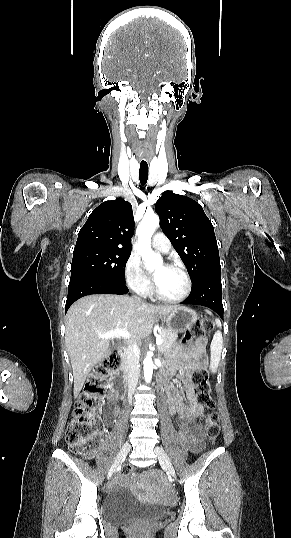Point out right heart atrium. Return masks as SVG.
Masks as SVG:
<instances>
[{"label": "right heart atrium", "instance_id": "d8ad5b80", "mask_svg": "<svg viewBox=\"0 0 291 538\" xmlns=\"http://www.w3.org/2000/svg\"><path fill=\"white\" fill-rule=\"evenodd\" d=\"M124 277L127 285L136 293L146 295L151 288V283L144 272L139 257L132 253L124 267Z\"/></svg>", "mask_w": 291, "mask_h": 538}]
</instances>
